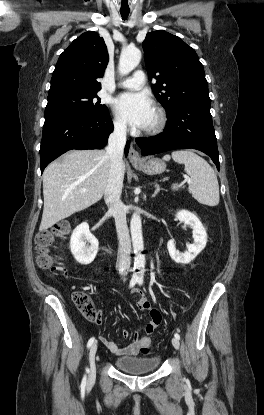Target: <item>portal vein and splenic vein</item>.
<instances>
[{
    "label": "portal vein and splenic vein",
    "mask_w": 264,
    "mask_h": 415,
    "mask_svg": "<svg viewBox=\"0 0 264 415\" xmlns=\"http://www.w3.org/2000/svg\"><path fill=\"white\" fill-rule=\"evenodd\" d=\"M185 180L188 182V184L191 183V179H189L188 177H186ZM86 191H87L86 189H81V193H85Z\"/></svg>",
    "instance_id": "1"
}]
</instances>
